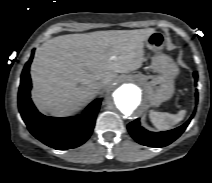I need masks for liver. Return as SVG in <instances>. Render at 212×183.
Returning <instances> with one entry per match:
<instances>
[{
    "instance_id": "liver-1",
    "label": "liver",
    "mask_w": 212,
    "mask_h": 183,
    "mask_svg": "<svg viewBox=\"0 0 212 183\" xmlns=\"http://www.w3.org/2000/svg\"><path fill=\"white\" fill-rule=\"evenodd\" d=\"M154 31H96L47 40L31 64L35 105L53 116L75 113L99 93L97 83L107 87L118 73L143 65L145 41Z\"/></svg>"
}]
</instances>
